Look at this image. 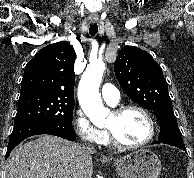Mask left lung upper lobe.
<instances>
[{
    "label": "left lung upper lobe",
    "instance_id": "obj_1",
    "mask_svg": "<svg viewBox=\"0 0 194 178\" xmlns=\"http://www.w3.org/2000/svg\"><path fill=\"white\" fill-rule=\"evenodd\" d=\"M114 70L126 95L153 111L160 125L176 122L162 69L148 52L125 46L118 53Z\"/></svg>",
    "mask_w": 194,
    "mask_h": 178
}]
</instances>
